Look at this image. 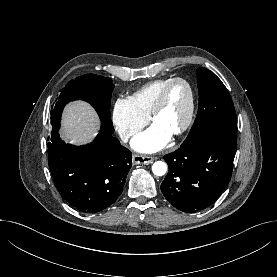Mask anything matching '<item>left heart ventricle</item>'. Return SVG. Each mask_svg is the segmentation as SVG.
I'll return each instance as SVG.
<instances>
[{"label":"left heart ventricle","instance_id":"obj_1","mask_svg":"<svg viewBox=\"0 0 277 277\" xmlns=\"http://www.w3.org/2000/svg\"><path fill=\"white\" fill-rule=\"evenodd\" d=\"M188 103V91L184 84H174L166 98L165 105L156 117L154 123L173 134L182 125Z\"/></svg>","mask_w":277,"mask_h":277}]
</instances>
